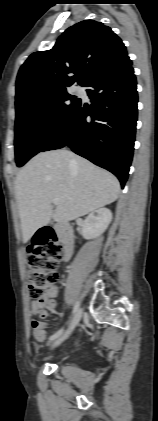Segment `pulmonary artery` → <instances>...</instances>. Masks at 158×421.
Masks as SVG:
<instances>
[{"mask_svg": "<svg viewBox=\"0 0 158 421\" xmlns=\"http://www.w3.org/2000/svg\"><path fill=\"white\" fill-rule=\"evenodd\" d=\"M77 91H78V92H81V91H82V89H81V88H77Z\"/></svg>", "mask_w": 158, "mask_h": 421, "instance_id": "pulmonary-artery-1", "label": "pulmonary artery"}]
</instances>
